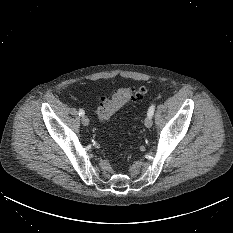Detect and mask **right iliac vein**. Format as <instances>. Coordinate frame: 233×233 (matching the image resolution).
Masks as SVG:
<instances>
[{
  "label": "right iliac vein",
  "mask_w": 233,
  "mask_h": 233,
  "mask_svg": "<svg viewBox=\"0 0 233 233\" xmlns=\"http://www.w3.org/2000/svg\"><path fill=\"white\" fill-rule=\"evenodd\" d=\"M81 121H82V124L84 126H88L89 125V118H88V116H86V115L82 116Z\"/></svg>",
  "instance_id": "1"
}]
</instances>
